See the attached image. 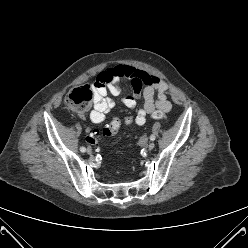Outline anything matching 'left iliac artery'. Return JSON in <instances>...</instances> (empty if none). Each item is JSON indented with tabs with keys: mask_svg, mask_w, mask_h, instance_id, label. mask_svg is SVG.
<instances>
[{
	"mask_svg": "<svg viewBox=\"0 0 248 248\" xmlns=\"http://www.w3.org/2000/svg\"><path fill=\"white\" fill-rule=\"evenodd\" d=\"M150 140H151V141H154V140H155V136H154V135H151V136H150Z\"/></svg>",
	"mask_w": 248,
	"mask_h": 248,
	"instance_id": "1",
	"label": "left iliac artery"
}]
</instances>
